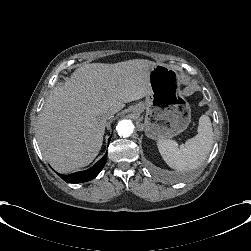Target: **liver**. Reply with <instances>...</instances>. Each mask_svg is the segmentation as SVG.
I'll list each match as a JSON object with an SVG mask.
<instances>
[{
    "instance_id": "6515ba94",
    "label": "liver",
    "mask_w": 251,
    "mask_h": 251,
    "mask_svg": "<svg viewBox=\"0 0 251 251\" xmlns=\"http://www.w3.org/2000/svg\"><path fill=\"white\" fill-rule=\"evenodd\" d=\"M154 66L144 59L86 64L52 90L38 118L37 134L42 155L54 170L67 174L94 160L107 120L125 103L151 94Z\"/></svg>"
}]
</instances>
